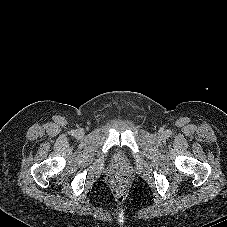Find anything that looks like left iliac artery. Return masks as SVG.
I'll use <instances>...</instances> for the list:
<instances>
[{"label": "left iliac artery", "instance_id": "44dca946", "mask_svg": "<svg viewBox=\"0 0 227 227\" xmlns=\"http://www.w3.org/2000/svg\"><path fill=\"white\" fill-rule=\"evenodd\" d=\"M168 134L170 135V134H171V132H169V131H168Z\"/></svg>", "mask_w": 227, "mask_h": 227}]
</instances>
